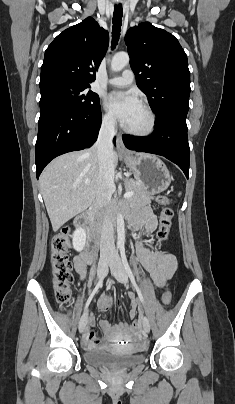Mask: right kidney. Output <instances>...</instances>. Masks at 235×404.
Wrapping results in <instances>:
<instances>
[{
	"label": "right kidney",
	"mask_w": 235,
	"mask_h": 404,
	"mask_svg": "<svg viewBox=\"0 0 235 404\" xmlns=\"http://www.w3.org/2000/svg\"><path fill=\"white\" fill-rule=\"evenodd\" d=\"M72 242L76 251L80 252L83 250L86 242V232L83 228H78L74 231L72 235Z\"/></svg>",
	"instance_id": "ca27d5eb"
}]
</instances>
